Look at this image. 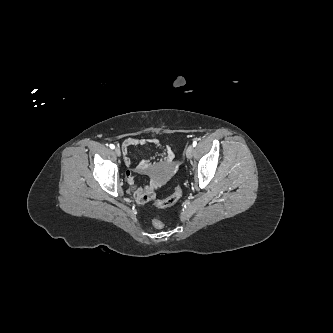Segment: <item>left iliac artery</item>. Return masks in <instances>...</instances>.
I'll return each instance as SVG.
<instances>
[{
    "mask_svg": "<svg viewBox=\"0 0 333 333\" xmlns=\"http://www.w3.org/2000/svg\"><path fill=\"white\" fill-rule=\"evenodd\" d=\"M197 145V141H193V147Z\"/></svg>",
    "mask_w": 333,
    "mask_h": 333,
    "instance_id": "obj_1",
    "label": "left iliac artery"
}]
</instances>
